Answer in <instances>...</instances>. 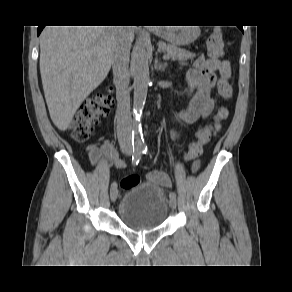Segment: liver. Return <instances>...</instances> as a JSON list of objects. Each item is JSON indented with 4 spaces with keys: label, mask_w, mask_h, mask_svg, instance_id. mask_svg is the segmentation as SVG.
I'll use <instances>...</instances> for the list:
<instances>
[{
    "label": "liver",
    "mask_w": 292,
    "mask_h": 292,
    "mask_svg": "<svg viewBox=\"0 0 292 292\" xmlns=\"http://www.w3.org/2000/svg\"><path fill=\"white\" fill-rule=\"evenodd\" d=\"M132 27V26H131ZM117 26H46L40 35V74L49 114L61 131L108 75ZM131 42L134 28L129 31Z\"/></svg>",
    "instance_id": "6515ba94"
}]
</instances>
